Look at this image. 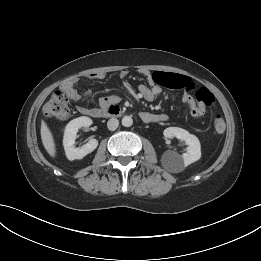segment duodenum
Segmentation results:
<instances>
[{
  "label": "duodenum",
  "instance_id": "obj_1",
  "mask_svg": "<svg viewBox=\"0 0 261 261\" xmlns=\"http://www.w3.org/2000/svg\"><path fill=\"white\" fill-rule=\"evenodd\" d=\"M120 113H121V111H120L119 107H117L115 105H110L103 110H96V111L92 112L91 116H93V117L115 116V115H119ZM142 119L145 122L148 121V119L146 117H143Z\"/></svg>",
  "mask_w": 261,
  "mask_h": 261
}]
</instances>
